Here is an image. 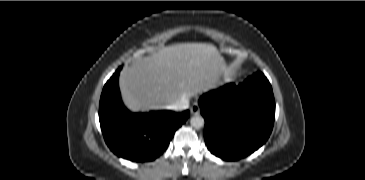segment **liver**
<instances>
[{"label":"liver","mask_w":365,"mask_h":180,"mask_svg":"<svg viewBox=\"0 0 365 180\" xmlns=\"http://www.w3.org/2000/svg\"><path fill=\"white\" fill-rule=\"evenodd\" d=\"M228 72L224 57L213 44L180 43L125 68L119 85L131 111L159 110L207 91Z\"/></svg>","instance_id":"obj_1"}]
</instances>
